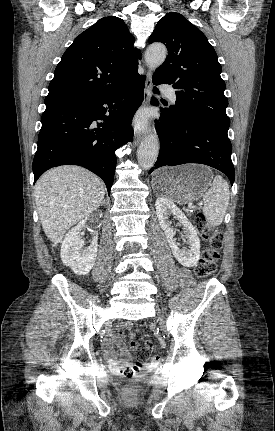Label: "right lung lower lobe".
<instances>
[{"mask_svg":"<svg viewBox=\"0 0 275 431\" xmlns=\"http://www.w3.org/2000/svg\"><path fill=\"white\" fill-rule=\"evenodd\" d=\"M145 79L139 75L118 91L46 106L33 161L34 183L52 167L73 164L101 177L110 194L115 150L132 141L131 120L143 102Z\"/></svg>","mask_w":275,"mask_h":431,"instance_id":"obj_1","label":"right lung lower lobe"}]
</instances>
